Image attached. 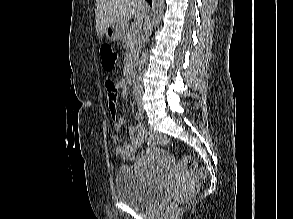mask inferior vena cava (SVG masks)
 Instances as JSON below:
<instances>
[{"label": "inferior vena cava", "mask_w": 293, "mask_h": 219, "mask_svg": "<svg viewBox=\"0 0 293 219\" xmlns=\"http://www.w3.org/2000/svg\"><path fill=\"white\" fill-rule=\"evenodd\" d=\"M140 88H142V86L140 84H138Z\"/></svg>", "instance_id": "inferior-vena-cava-1"}]
</instances>
